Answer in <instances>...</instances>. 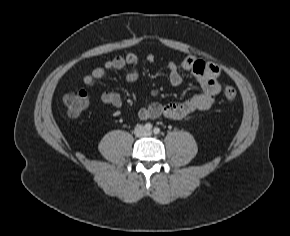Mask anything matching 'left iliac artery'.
Masks as SVG:
<instances>
[{
  "instance_id": "obj_1",
  "label": "left iliac artery",
  "mask_w": 290,
  "mask_h": 236,
  "mask_svg": "<svg viewBox=\"0 0 290 236\" xmlns=\"http://www.w3.org/2000/svg\"><path fill=\"white\" fill-rule=\"evenodd\" d=\"M154 134H159L160 133V129L158 127H155L153 130Z\"/></svg>"
}]
</instances>
